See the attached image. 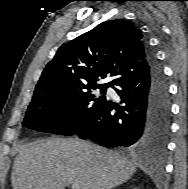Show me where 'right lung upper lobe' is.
<instances>
[{"label": "right lung upper lobe", "instance_id": "right-lung-upper-lobe-1", "mask_svg": "<svg viewBox=\"0 0 188 189\" xmlns=\"http://www.w3.org/2000/svg\"><path fill=\"white\" fill-rule=\"evenodd\" d=\"M149 50L142 31L133 23L123 19L102 22L58 49L43 70L34 94L117 86L149 71ZM108 75L114 79L97 84Z\"/></svg>", "mask_w": 188, "mask_h": 189}]
</instances>
